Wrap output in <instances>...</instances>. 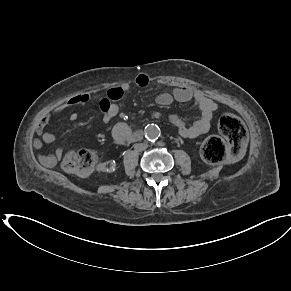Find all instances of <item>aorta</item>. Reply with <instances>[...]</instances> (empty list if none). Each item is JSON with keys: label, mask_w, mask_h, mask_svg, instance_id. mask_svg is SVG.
Listing matches in <instances>:
<instances>
[{"label": "aorta", "mask_w": 291, "mask_h": 291, "mask_svg": "<svg viewBox=\"0 0 291 291\" xmlns=\"http://www.w3.org/2000/svg\"><path fill=\"white\" fill-rule=\"evenodd\" d=\"M145 137L149 141H154L159 138L160 136V128L156 124H148L144 130Z\"/></svg>", "instance_id": "762f6f07"}]
</instances>
